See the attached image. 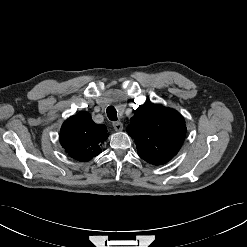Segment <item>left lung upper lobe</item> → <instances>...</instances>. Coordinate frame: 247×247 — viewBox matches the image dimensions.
Returning a JSON list of instances; mask_svg holds the SVG:
<instances>
[{"label":"left lung upper lobe","instance_id":"left-lung-upper-lobe-1","mask_svg":"<svg viewBox=\"0 0 247 247\" xmlns=\"http://www.w3.org/2000/svg\"><path fill=\"white\" fill-rule=\"evenodd\" d=\"M127 132L135 140L138 155L151 164L160 165L177 154L186 127L179 112L147 101L135 111Z\"/></svg>","mask_w":247,"mask_h":247}]
</instances>
